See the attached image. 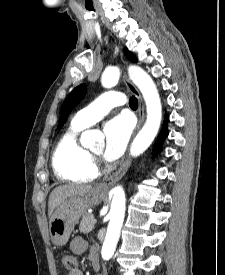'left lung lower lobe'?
Instances as JSON below:
<instances>
[{
    "mask_svg": "<svg viewBox=\"0 0 225 275\" xmlns=\"http://www.w3.org/2000/svg\"><path fill=\"white\" fill-rule=\"evenodd\" d=\"M166 123H167V117L165 118L163 128H162V130H161V132L158 136V140L154 145L153 152L158 151V150L161 149V143L163 142L164 138L167 137V135H168Z\"/></svg>",
    "mask_w": 225,
    "mask_h": 275,
    "instance_id": "0a47b994",
    "label": "left lung lower lobe"
}]
</instances>
